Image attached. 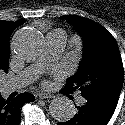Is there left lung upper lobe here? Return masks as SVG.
Here are the masks:
<instances>
[{
  "label": "left lung upper lobe",
  "mask_w": 125,
  "mask_h": 125,
  "mask_svg": "<svg viewBox=\"0 0 125 125\" xmlns=\"http://www.w3.org/2000/svg\"><path fill=\"white\" fill-rule=\"evenodd\" d=\"M63 18L75 26L84 42L79 69L66 80L64 93L69 94L77 89L85 100H118L124 69L115 38L88 18L75 15H64Z\"/></svg>",
  "instance_id": "left-lung-upper-lobe-1"
}]
</instances>
